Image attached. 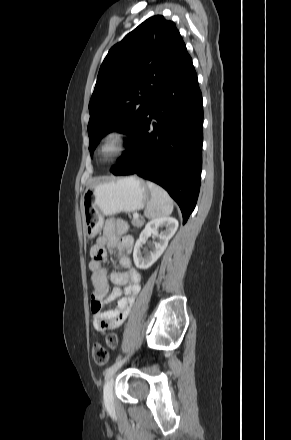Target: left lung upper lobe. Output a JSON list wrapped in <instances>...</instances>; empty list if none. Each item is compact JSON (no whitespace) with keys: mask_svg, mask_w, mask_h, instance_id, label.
Returning a JSON list of instances; mask_svg holds the SVG:
<instances>
[{"mask_svg":"<svg viewBox=\"0 0 291 440\" xmlns=\"http://www.w3.org/2000/svg\"><path fill=\"white\" fill-rule=\"evenodd\" d=\"M186 54L175 24L160 15L144 21L109 50L89 103L91 152L112 131L128 134V144L154 93Z\"/></svg>","mask_w":291,"mask_h":440,"instance_id":"1","label":"left lung upper lobe"}]
</instances>
